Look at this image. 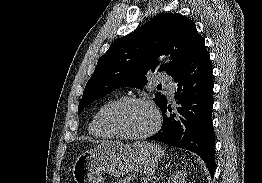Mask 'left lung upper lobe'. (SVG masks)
<instances>
[{
	"instance_id": "left-lung-upper-lobe-1",
	"label": "left lung upper lobe",
	"mask_w": 262,
	"mask_h": 183,
	"mask_svg": "<svg viewBox=\"0 0 262 183\" xmlns=\"http://www.w3.org/2000/svg\"><path fill=\"white\" fill-rule=\"evenodd\" d=\"M204 47L205 41L194 22L177 13L159 15L114 41L99 58L84 89L78 114L117 88L143 87L147 83L148 70L159 64L160 55H171L172 62L161 65L159 71H166L173 77ZM154 101L160 107L166 97L156 93Z\"/></svg>"
}]
</instances>
